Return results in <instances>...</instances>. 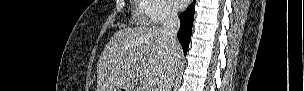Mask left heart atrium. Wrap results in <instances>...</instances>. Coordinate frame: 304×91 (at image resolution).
<instances>
[{"mask_svg": "<svg viewBox=\"0 0 304 91\" xmlns=\"http://www.w3.org/2000/svg\"><path fill=\"white\" fill-rule=\"evenodd\" d=\"M172 3L176 9H183L187 6V0H173Z\"/></svg>", "mask_w": 304, "mask_h": 91, "instance_id": "obj_1", "label": "left heart atrium"}]
</instances>
